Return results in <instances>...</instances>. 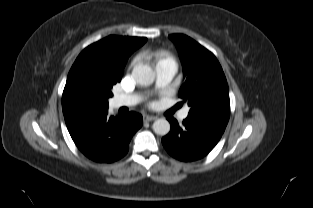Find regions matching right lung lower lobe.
Wrapping results in <instances>:
<instances>
[{
	"instance_id": "obj_1",
	"label": "right lung lower lobe",
	"mask_w": 313,
	"mask_h": 208,
	"mask_svg": "<svg viewBox=\"0 0 313 208\" xmlns=\"http://www.w3.org/2000/svg\"><path fill=\"white\" fill-rule=\"evenodd\" d=\"M62 109L74 143L96 162L111 163L125 156L132 136L143 123L135 112L109 116L108 106L72 102L63 104Z\"/></svg>"
}]
</instances>
